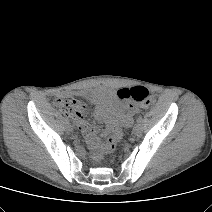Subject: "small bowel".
Returning <instances> with one entry per match:
<instances>
[{
	"instance_id": "c3829d8e",
	"label": "small bowel",
	"mask_w": 212,
	"mask_h": 212,
	"mask_svg": "<svg viewBox=\"0 0 212 212\" xmlns=\"http://www.w3.org/2000/svg\"><path fill=\"white\" fill-rule=\"evenodd\" d=\"M80 95L94 105V117L99 121L105 122V133H112L119 126H130L133 116L140 111L139 106L123 103L112 90L105 87L82 91ZM76 124L91 148L97 151L99 148L97 128L86 122L83 116L76 119Z\"/></svg>"
}]
</instances>
